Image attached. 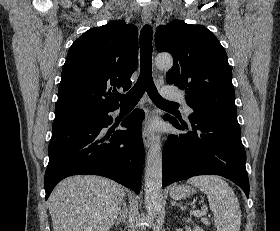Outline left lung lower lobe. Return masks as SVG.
<instances>
[{"label":"left lung lower lobe","instance_id":"1","mask_svg":"<svg viewBox=\"0 0 280 231\" xmlns=\"http://www.w3.org/2000/svg\"><path fill=\"white\" fill-rule=\"evenodd\" d=\"M167 120L179 130L187 129L184 121L180 125L169 115ZM189 120L193 131L170 134L164 145L162 186L197 175H220L240 186L248 197L246 153L237 116L190 115Z\"/></svg>","mask_w":280,"mask_h":231}]
</instances>
